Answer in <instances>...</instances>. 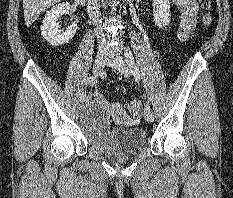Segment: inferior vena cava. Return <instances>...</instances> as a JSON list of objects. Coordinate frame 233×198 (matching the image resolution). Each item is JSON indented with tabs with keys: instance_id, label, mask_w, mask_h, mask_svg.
<instances>
[{
	"instance_id": "602c4592",
	"label": "inferior vena cava",
	"mask_w": 233,
	"mask_h": 198,
	"mask_svg": "<svg viewBox=\"0 0 233 198\" xmlns=\"http://www.w3.org/2000/svg\"><path fill=\"white\" fill-rule=\"evenodd\" d=\"M87 10L90 20L93 21L95 25H98L101 22L98 0H88ZM96 35L99 43L98 46L99 50L100 51L107 50L108 49L107 42L102 31L98 30Z\"/></svg>"
}]
</instances>
